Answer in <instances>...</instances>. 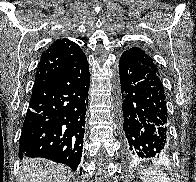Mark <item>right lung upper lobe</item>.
Listing matches in <instances>:
<instances>
[{"label":"right lung upper lobe","instance_id":"1","mask_svg":"<svg viewBox=\"0 0 196 182\" xmlns=\"http://www.w3.org/2000/svg\"><path fill=\"white\" fill-rule=\"evenodd\" d=\"M83 56L85 54L76 43L67 39L54 41L41 55L33 89L67 70Z\"/></svg>","mask_w":196,"mask_h":182}]
</instances>
